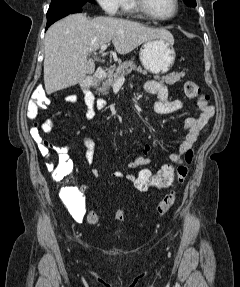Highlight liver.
I'll list each match as a JSON object with an SVG mask.
<instances>
[{"label": "liver", "mask_w": 240, "mask_h": 287, "mask_svg": "<svg viewBox=\"0 0 240 287\" xmlns=\"http://www.w3.org/2000/svg\"><path fill=\"white\" fill-rule=\"evenodd\" d=\"M156 38L173 39L164 28L114 18L88 19L73 14L53 24L46 32L44 84L48 95L81 83L87 74V57L110 41L119 54H127L140 44Z\"/></svg>", "instance_id": "1"}]
</instances>
